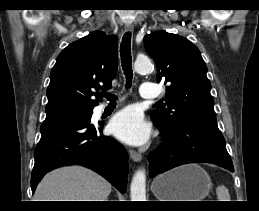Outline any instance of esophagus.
Returning <instances> with one entry per match:
<instances>
[{
  "mask_svg": "<svg viewBox=\"0 0 259 211\" xmlns=\"http://www.w3.org/2000/svg\"><path fill=\"white\" fill-rule=\"evenodd\" d=\"M134 26L132 24H126L125 25V31L126 32H133ZM130 157L132 158L133 161L135 162H139L142 159V155L140 153H138L135 150H130L129 151Z\"/></svg>",
  "mask_w": 259,
  "mask_h": 211,
  "instance_id": "1",
  "label": "esophagus"
}]
</instances>
